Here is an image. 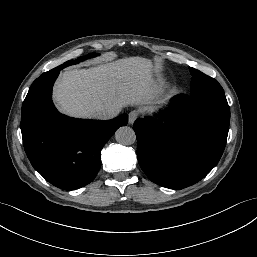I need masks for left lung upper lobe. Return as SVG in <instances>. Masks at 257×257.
Returning <instances> with one entry per match:
<instances>
[{"label": "left lung upper lobe", "mask_w": 257, "mask_h": 257, "mask_svg": "<svg viewBox=\"0 0 257 257\" xmlns=\"http://www.w3.org/2000/svg\"><path fill=\"white\" fill-rule=\"evenodd\" d=\"M192 75L190 95H225L221 85L212 77L189 67Z\"/></svg>", "instance_id": "left-lung-upper-lobe-1"}]
</instances>
